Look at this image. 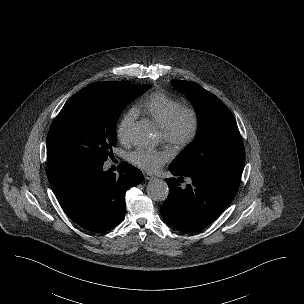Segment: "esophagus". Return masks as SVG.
<instances>
[{
    "label": "esophagus",
    "instance_id": "34e87169",
    "mask_svg": "<svg viewBox=\"0 0 304 304\" xmlns=\"http://www.w3.org/2000/svg\"><path fill=\"white\" fill-rule=\"evenodd\" d=\"M144 178H145L146 180H153V179H155L156 177H155L154 175L150 174V173H144Z\"/></svg>",
    "mask_w": 304,
    "mask_h": 304
}]
</instances>
